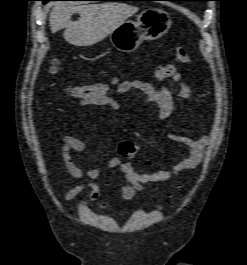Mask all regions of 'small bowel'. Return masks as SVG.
Returning <instances> with one entry per match:
<instances>
[{"mask_svg": "<svg viewBox=\"0 0 247 265\" xmlns=\"http://www.w3.org/2000/svg\"><path fill=\"white\" fill-rule=\"evenodd\" d=\"M155 78L158 81H167V83L162 87H155L153 84L142 80H126L118 83L114 91L119 95L130 91H138L143 96L146 105L154 104L159 108V115L163 121L167 120L174 110L173 98L175 96L190 101L195 100L194 92L190 87L181 82L182 76L173 65L158 66L155 69ZM80 105L84 106L81 103ZM106 106L113 110L121 109L120 103L113 97ZM167 137L184 146L187 149V155L175 164L171 170L143 173L138 171L131 162L122 161L118 156L111 157L104 166L83 170L75 164L71 152H82L85 149V143L74 136L63 135L62 157L66 170L72 178L83 180L66 192L65 200L71 201L75 199L84 189H89L86 197L88 201L94 202L99 200L101 190L97 180L107 170L119 168L124 174V181L119 186L121 196L126 201H131L138 192L144 189L145 184L167 181L183 171L194 169L201 162L205 149L210 142L208 136L193 139L168 133ZM100 208H106V203L101 202Z\"/></svg>", "mask_w": 247, "mask_h": 265, "instance_id": "1", "label": "small bowel"}]
</instances>
